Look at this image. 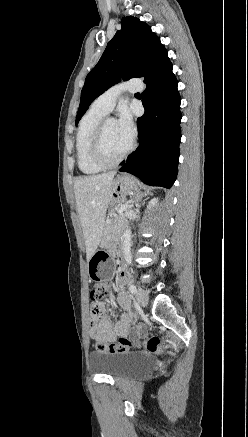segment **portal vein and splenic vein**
<instances>
[{"mask_svg":"<svg viewBox=\"0 0 248 437\" xmlns=\"http://www.w3.org/2000/svg\"><path fill=\"white\" fill-rule=\"evenodd\" d=\"M128 208L127 204L122 205L119 209H118V213H122L123 211H125Z\"/></svg>","mask_w":248,"mask_h":437,"instance_id":"1","label":"portal vein and splenic vein"}]
</instances>
